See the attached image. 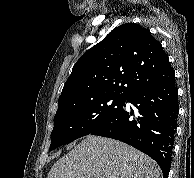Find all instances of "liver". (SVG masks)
<instances>
[{
  "mask_svg": "<svg viewBox=\"0 0 194 178\" xmlns=\"http://www.w3.org/2000/svg\"><path fill=\"white\" fill-rule=\"evenodd\" d=\"M157 164L114 139L89 135L51 168L47 178H159Z\"/></svg>",
  "mask_w": 194,
  "mask_h": 178,
  "instance_id": "liver-1",
  "label": "liver"
}]
</instances>
